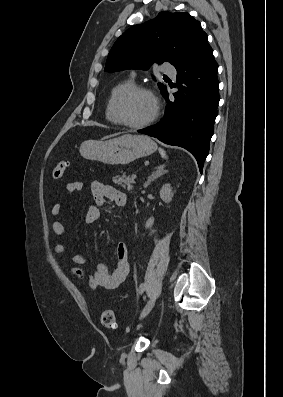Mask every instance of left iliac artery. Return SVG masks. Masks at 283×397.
I'll return each mask as SVG.
<instances>
[{
    "instance_id": "1",
    "label": "left iliac artery",
    "mask_w": 283,
    "mask_h": 397,
    "mask_svg": "<svg viewBox=\"0 0 283 397\" xmlns=\"http://www.w3.org/2000/svg\"><path fill=\"white\" fill-rule=\"evenodd\" d=\"M144 290H145V284L142 283V284L139 286V293L142 294V293L144 292Z\"/></svg>"
}]
</instances>
